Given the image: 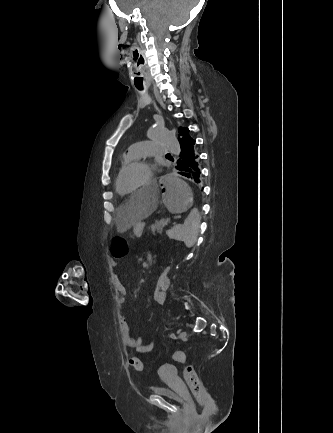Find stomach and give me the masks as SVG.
Returning <instances> with one entry per match:
<instances>
[{"label": "stomach", "mask_w": 333, "mask_h": 433, "mask_svg": "<svg viewBox=\"0 0 333 433\" xmlns=\"http://www.w3.org/2000/svg\"><path fill=\"white\" fill-rule=\"evenodd\" d=\"M164 197V208L169 215H187L193 202V191L190 183H185L184 176L178 174H163L160 178ZM143 223L140 221L134 226V233L139 235Z\"/></svg>", "instance_id": "stomach-1"}]
</instances>
